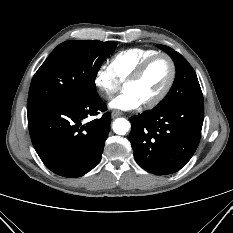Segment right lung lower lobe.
<instances>
[{"instance_id": "right-lung-lower-lobe-1", "label": "right lung lower lobe", "mask_w": 233, "mask_h": 233, "mask_svg": "<svg viewBox=\"0 0 233 233\" xmlns=\"http://www.w3.org/2000/svg\"><path fill=\"white\" fill-rule=\"evenodd\" d=\"M105 110L95 91L73 101L27 108L31 140L45 166L63 177H79L93 169L101 160L111 114L83 121Z\"/></svg>"}]
</instances>
